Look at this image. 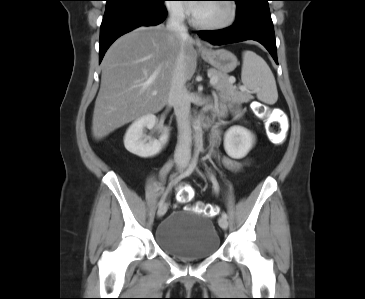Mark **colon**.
<instances>
[{
	"instance_id": "1",
	"label": "colon",
	"mask_w": 365,
	"mask_h": 299,
	"mask_svg": "<svg viewBox=\"0 0 365 299\" xmlns=\"http://www.w3.org/2000/svg\"><path fill=\"white\" fill-rule=\"evenodd\" d=\"M258 114L268 118L266 131L270 140L277 144L282 143L286 135L282 115L280 113L273 114L267 106L262 104L258 106ZM193 196L194 190L189 185L181 186L177 192L178 201L182 205L188 203ZM194 211L211 217L216 215L217 208L213 204L197 203L194 206Z\"/></svg>"
}]
</instances>
